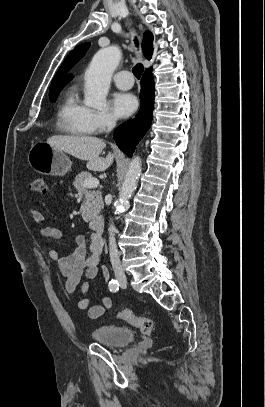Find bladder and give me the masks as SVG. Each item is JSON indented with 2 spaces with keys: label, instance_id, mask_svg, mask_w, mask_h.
Here are the masks:
<instances>
[{
  "label": "bladder",
  "instance_id": "obj_1",
  "mask_svg": "<svg viewBox=\"0 0 265 407\" xmlns=\"http://www.w3.org/2000/svg\"><path fill=\"white\" fill-rule=\"evenodd\" d=\"M91 336L97 343L111 347L129 345L135 340V333L132 329L116 325L94 328Z\"/></svg>",
  "mask_w": 265,
  "mask_h": 407
}]
</instances>
